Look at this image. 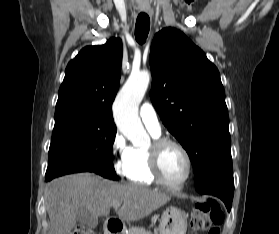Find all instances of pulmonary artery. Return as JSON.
I'll list each match as a JSON object with an SVG mask.
<instances>
[{"label":"pulmonary artery","mask_w":279,"mask_h":234,"mask_svg":"<svg viewBox=\"0 0 279 234\" xmlns=\"http://www.w3.org/2000/svg\"><path fill=\"white\" fill-rule=\"evenodd\" d=\"M140 118L145 127L155 135H159L161 132V125L154 106L146 101L142 104L140 111Z\"/></svg>","instance_id":"obj_1"}]
</instances>
